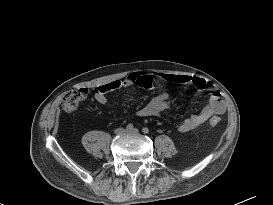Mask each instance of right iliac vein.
Wrapping results in <instances>:
<instances>
[{
	"label": "right iliac vein",
	"mask_w": 273,
	"mask_h": 205,
	"mask_svg": "<svg viewBox=\"0 0 273 205\" xmlns=\"http://www.w3.org/2000/svg\"><path fill=\"white\" fill-rule=\"evenodd\" d=\"M115 133L117 135H123L126 133V130L124 128H118V129H116Z\"/></svg>",
	"instance_id": "1"
}]
</instances>
